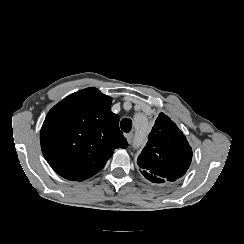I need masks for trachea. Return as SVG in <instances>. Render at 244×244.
Returning a JSON list of instances; mask_svg holds the SVG:
<instances>
[{
    "instance_id": "3493384b",
    "label": "trachea",
    "mask_w": 244,
    "mask_h": 244,
    "mask_svg": "<svg viewBox=\"0 0 244 244\" xmlns=\"http://www.w3.org/2000/svg\"><path fill=\"white\" fill-rule=\"evenodd\" d=\"M120 127H121V130L123 132H130L131 131V128H132V121L131 119L129 118H124L121 122H120Z\"/></svg>"
}]
</instances>
